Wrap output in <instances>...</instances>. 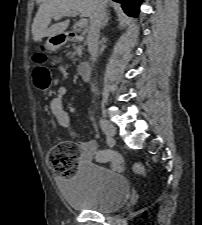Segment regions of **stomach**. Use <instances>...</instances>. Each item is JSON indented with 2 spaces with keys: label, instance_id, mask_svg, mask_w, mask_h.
Returning a JSON list of instances; mask_svg holds the SVG:
<instances>
[{
  "label": "stomach",
  "instance_id": "0dacf381",
  "mask_svg": "<svg viewBox=\"0 0 202 225\" xmlns=\"http://www.w3.org/2000/svg\"><path fill=\"white\" fill-rule=\"evenodd\" d=\"M47 45H48V47H50V43H49V41L47 42Z\"/></svg>",
  "mask_w": 202,
  "mask_h": 225
}]
</instances>
